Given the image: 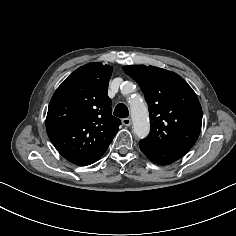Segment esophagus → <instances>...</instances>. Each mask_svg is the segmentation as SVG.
<instances>
[{"label":"esophagus","instance_id":"34e87169","mask_svg":"<svg viewBox=\"0 0 236 236\" xmlns=\"http://www.w3.org/2000/svg\"><path fill=\"white\" fill-rule=\"evenodd\" d=\"M122 123H123V125L129 127V126H131L132 121H131L130 118H124V119L122 120Z\"/></svg>","mask_w":236,"mask_h":236}]
</instances>
